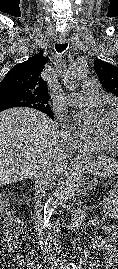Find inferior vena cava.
<instances>
[{
	"label": "inferior vena cava",
	"mask_w": 118,
	"mask_h": 269,
	"mask_svg": "<svg viewBox=\"0 0 118 269\" xmlns=\"http://www.w3.org/2000/svg\"><path fill=\"white\" fill-rule=\"evenodd\" d=\"M58 173V163L54 156L47 161L39 164L37 173L35 174V209H36V223L41 224V207H42V194L45 187L53 180L55 174Z\"/></svg>",
	"instance_id": "1"
}]
</instances>
